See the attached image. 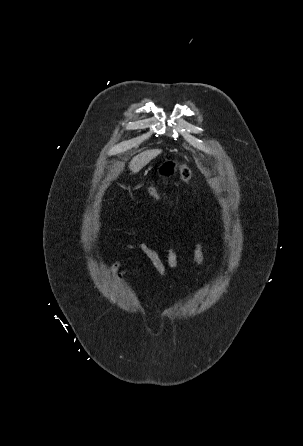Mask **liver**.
Wrapping results in <instances>:
<instances>
[{
	"mask_svg": "<svg viewBox=\"0 0 303 446\" xmlns=\"http://www.w3.org/2000/svg\"><path fill=\"white\" fill-rule=\"evenodd\" d=\"M160 152H161L160 150H148V151H144V152L136 155L130 161L129 169L133 173L139 172L146 164H148Z\"/></svg>",
	"mask_w": 303,
	"mask_h": 446,
	"instance_id": "6515ba94",
	"label": "liver"
}]
</instances>
